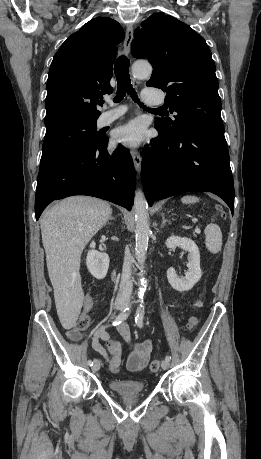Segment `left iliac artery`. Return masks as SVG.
<instances>
[{"instance_id": "left-iliac-artery-1", "label": "left iliac artery", "mask_w": 261, "mask_h": 459, "mask_svg": "<svg viewBox=\"0 0 261 459\" xmlns=\"http://www.w3.org/2000/svg\"><path fill=\"white\" fill-rule=\"evenodd\" d=\"M144 314H145V307H144V303L141 302V304L137 308L136 316H135V322L139 328L143 327ZM165 359L170 361L171 357L167 355Z\"/></svg>"}]
</instances>
